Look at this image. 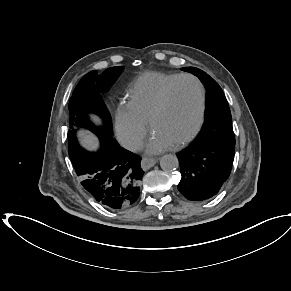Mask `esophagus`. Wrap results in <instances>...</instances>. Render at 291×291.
Segmentation results:
<instances>
[{
	"label": "esophagus",
	"instance_id": "34e87169",
	"mask_svg": "<svg viewBox=\"0 0 291 291\" xmlns=\"http://www.w3.org/2000/svg\"><path fill=\"white\" fill-rule=\"evenodd\" d=\"M157 162L158 159L144 157L141 161V166L143 169H149L153 167Z\"/></svg>",
	"mask_w": 291,
	"mask_h": 291
}]
</instances>
